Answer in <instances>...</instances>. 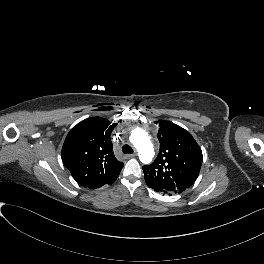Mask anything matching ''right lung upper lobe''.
I'll return each instance as SVG.
<instances>
[{
	"mask_svg": "<svg viewBox=\"0 0 264 264\" xmlns=\"http://www.w3.org/2000/svg\"><path fill=\"white\" fill-rule=\"evenodd\" d=\"M115 126L107 119L92 117L81 121L68 133L62 160L80 185L96 189L118 177L123 163L113 153L110 135Z\"/></svg>",
	"mask_w": 264,
	"mask_h": 264,
	"instance_id": "right-lung-upper-lobe-1",
	"label": "right lung upper lobe"
}]
</instances>
